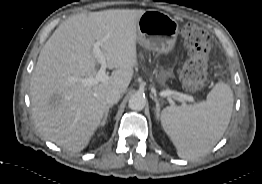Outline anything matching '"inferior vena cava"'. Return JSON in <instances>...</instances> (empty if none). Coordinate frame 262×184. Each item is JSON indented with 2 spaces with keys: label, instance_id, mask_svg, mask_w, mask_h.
<instances>
[{
  "label": "inferior vena cava",
  "instance_id": "obj_1",
  "mask_svg": "<svg viewBox=\"0 0 262 184\" xmlns=\"http://www.w3.org/2000/svg\"><path fill=\"white\" fill-rule=\"evenodd\" d=\"M120 97L121 93L118 90H110L106 94V103L109 105L116 104L119 101Z\"/></svg>",
  "mask_w": 262,
  "mask_h": 184
}]
</instances>
